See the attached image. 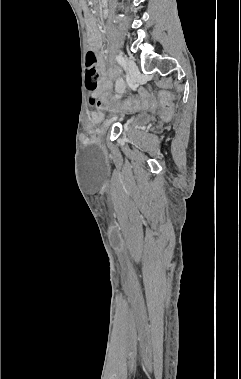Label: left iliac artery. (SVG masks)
<instances>
[{
	"label": "left iliac artery",
	"mask_w": 241,
	"mask_h": 379,
	"mask_svg": "<svg viewBox=\"0 0 241 379\" xmlns=\"http://www.w3.org/2000/svg\"><path fill=\"white\" fill-rule=\"evenodd\" d=\"M116 61L122 66V67H125V60H124V57L119 54V55H116L115 57Z\"/></svg>",
	"instance_id": "1"
}]
</instances>
